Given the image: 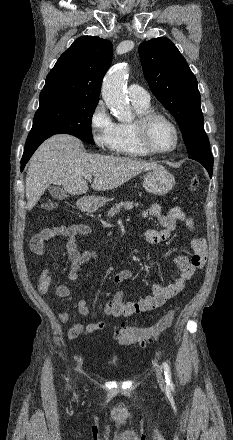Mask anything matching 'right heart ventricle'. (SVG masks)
Masks as SVG:
<instances>
[{"label":"right heart ventricle","instance_id":"e07e8e85","mask_svg":"<svg viewBox=\"0 0 233 440\" xmlns=\"http://www.w3.org/2000/svg\"><path fill=\"white\" fill-rule=\"evenodd\" d=\"M133 106L137 115L150 110L149 104L133 103ZM114 152L125 157H145L148 155L137 141L133 122L117 123Z\"/></svg>","mask_w":233,"mask_h":440}]
</instances>
